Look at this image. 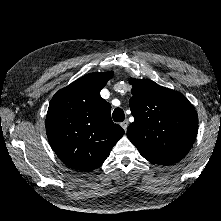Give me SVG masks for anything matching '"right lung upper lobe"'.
Here are the masks:
<instances>
[{"label":"right lung upper lobe","instance_id":"cb5924a9","mask_svg":"<svg viewBox=\"0 0 221 221\" xmlns=\"http://www.w3.org/2000/svg\"><path fill=\"white\" fill-rule=\"evenodd\" d=\"M113 72L91 73L59 90L46 117L50 145L67 166L91 171L100 167L124 130L111 120V105L100 96Z\"/></svg>","mask_w":221,"mask_h":221}]
</instances>
